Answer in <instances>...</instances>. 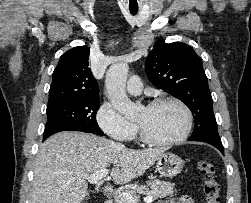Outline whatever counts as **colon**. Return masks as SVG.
<instances>
[{
  "label": "colon",
  "instance_id": "5ec220e1",
  "mask_svg": "<svg viewBox=\"0 0 251 203\" xmlns=\"http://www.w3.org/2000/svg\"><path fill=\"white\" fill-rule=\"evenodd\" d=\"M198 169L204 176L203 194L205 203H220L219 183L214 165L208 160H200Z\"/></svg>",
  "mask_w": 251,
  "mask_h": 203
}]
</instances>
